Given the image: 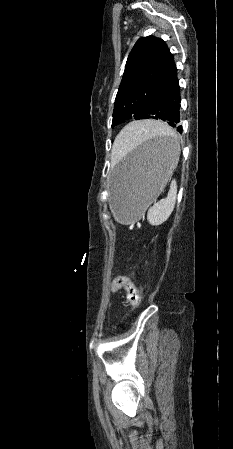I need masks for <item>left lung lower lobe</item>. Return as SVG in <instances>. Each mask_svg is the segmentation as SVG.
Returning <instances> with one entry per match:
<instances>
[{
    "instance_id": "0a47b994",
    "label": "left lung lower lobe",
    "mask_w": 233,
    "mask_h": 449,
    "mask_svg": "<svg viewBox=\"0 0 233 449\" xmlns=\"http://www.w3.org/2000/svg\"><path fill=\"white\" fill-rule=\"evenodd\" d=\"M180 87L177 71L156 94L150 103L144 119H161L167 121L177 131L182 133L180 122Z\"/></svg>"
}]
</instances>
